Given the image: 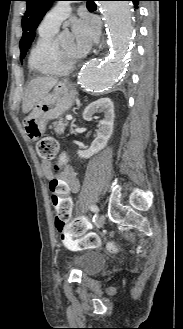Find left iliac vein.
Instances as JSON below:
<instances>
[{"instance_id": "4c4485c4", "label": "left iliac vein", "mask_w": 183, "mask_h": 329, "mask_svg": "<svg viewBox=\"0 0 183 329\" xmlns=\"http://www.w3.org/2000/svg\"><path fill=\"white\" fill-rule=\"evenodd\" d=\"M105 223V217L104 215H100L99 218H98V225L99 227H102Z\"/></svg>"}]
</instances>
